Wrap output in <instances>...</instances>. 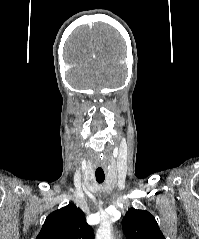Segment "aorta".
I'll return each instance as SVG.
<instances>
[{
    "label": "aorta",
    "instance_id": "762f6f07",
    "mask_svg": "<svg viewBox=\"0 0 199 239\" xmlns=\"http://www.w3.org/2000/svg\"><path fill=\"white\" fill-rule=\"evenodd\" d=\"M111 232L112 223L110 221H103L96 232L95 239H113Z\"/></svg>",
    "mask_w": 199,
    "mask_h": 239
}]
</instances>
